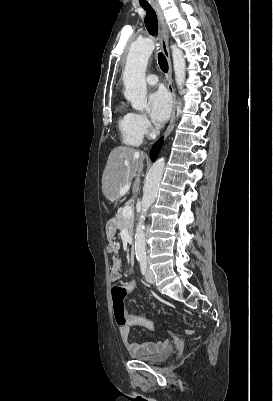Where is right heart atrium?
<instances>
[{"instance_id": "d8ad5b80", "label": "right heart atrium", "mask_w": 273, "mask_h": 401, "mask_svg": "<svg viewBox=\"0 0 273 401\" xmlns=\"http://www.w3.org/2000/svg\"><path fill=\"white\" fill-rule=\"evenodd\" d=\"M134 127L136 132L141 137H152L156 134V127L150 122V120L144 114L132 113Z\"/></svg>"}]
</instances>
